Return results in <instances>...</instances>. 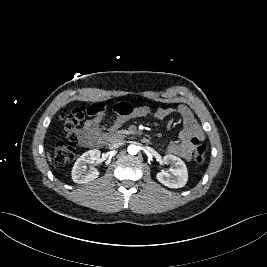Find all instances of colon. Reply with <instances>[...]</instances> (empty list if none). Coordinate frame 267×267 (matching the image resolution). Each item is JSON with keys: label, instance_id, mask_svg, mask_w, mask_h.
I'll return each mask as SVG.
<instances>
[{"label": "colon", "instance_id": "1", "mask_svg": "<svg viewBox=\"0 0 267 267\" xmlns=\"http://www.w3.org/2000/svg\"><path fill=\"white\" fill-rule=\"evenodd\" d=\"M93 109L85 106H77L65 109L61 114V124L66 140H59L55 146V163L59 166L72 162L77 156L78 125L90 115ZM206 145L202 141H197L194 147V159L202 163L205 159Z\"/></svg>", "mask_w": 267, "mask_h": 267}]
</instances>
